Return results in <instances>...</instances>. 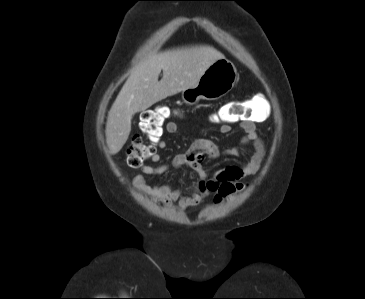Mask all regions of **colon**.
I'll list each match as a JSON object with an SVG mask.
<instances>
[{
    "mask_svg": "<svg viewBox=\"0 0 365 299\" xmlns=\"http://www.w3.org/2000/svg\"><path fill=\"white\" fill-rule=\"evenodd\" d=\"M177 115L178 112L169 106H157L153 109L145 110L141 114L140 129L148 136L151 143H144L140 137H135L132 140L126 151V161L130 167H140L152 158L156 151L155 142L162 136L165 121ZM256 116L258 115L253 111L251 101L246 100L224 105L218 112L211 115V121L223 125L235 121L251 120ZM243 187L244 185L241 183L230 181L220 184L209 181L196 192L200 194L207 189L214 192L216 201L220 202L240 191Z\"/></svg>",
    "mask_w": 365,
    "mask_h": 299,
    "instance_id": "colon-1",
    "label": "colon"
}]
</instances>
